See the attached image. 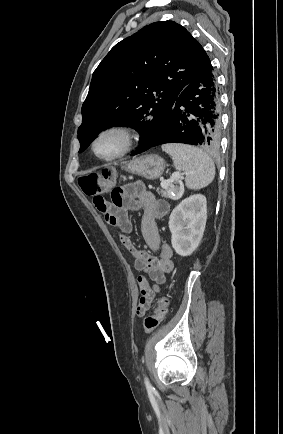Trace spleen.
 Instances as JSON below:
<instances>
[{
    "mask_svg": "<svg viewBox=\"0 0 283 434\" xmlns=\"http://www.w3.org/2000/svg\"><path fill=\"white\" fill-rule=\"evenodd\" d=\"M162 150L172 157L175 168L185 173L188 188L200 189L213 181L214 162L202 150L184 144H166L162 146Z\"/></svg>",
    "mask_w": 283,
    "mask_h": 434,
    "instance_id": "3e777b00",
    "label": "spleen"
}]
</instances>
